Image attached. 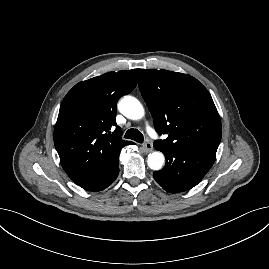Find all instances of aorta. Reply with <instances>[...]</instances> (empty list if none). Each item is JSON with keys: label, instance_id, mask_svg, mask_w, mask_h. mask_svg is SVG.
Wrapping results in <instances>:
<instances>
[{"label": "aorta", "instance_id": "aorta-1", "mask_svg": "<svg viewBox=\"0 0 269 269\" xmlns=\"http://www.w3.org/2000/svg\"><path fill=\"white\" fill-rule=\"evenodd\" d=\"M118 109L125 117L132 120H139L144 116L142 104L132 96L123 97L118 104ZM164 162L165 157L160 151H155L148 155L147 164L152 170H160Z\"/></svg>", "mask_w": 269, "mask_h": 269}]
</instances>
